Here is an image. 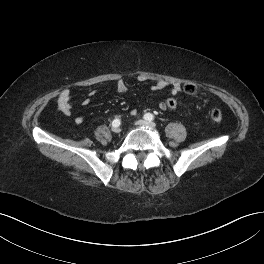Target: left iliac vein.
I'll list each match as a JSON object with an SVG mask.
<instances>
[{
	"label": "left iliac vein",
	"instance_id": "1",
	"mask_svg": "<svg viewBox=\"0 0 264 264\" xmlns=\"http://www.w3.org/2000/svg\"><path fill=\"white\" fill-rule=\"evenodd\" d=\"M136 124L139 126L150 127V128L156 127V124L154 122H150V121H146V120H138L136 122Z\"/></svg>",
	"mask_w": 264,
	"mask_h": 264
}]
</instances>
